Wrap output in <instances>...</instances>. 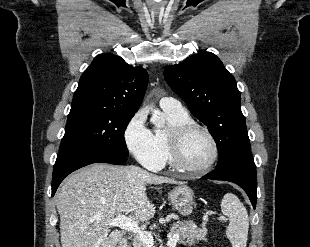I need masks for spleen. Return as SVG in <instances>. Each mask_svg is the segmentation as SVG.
<instances>
[{
    "instance_id": "1",
    "label": "spleen",
    "mask_w": 310,
    "mask_h": 247,
    "mask_svg": "<svg viewBox=\"0 0 310 247\" xmlns=\"http://www.w3.org/2000/svg\"><path fill=\"white\" fill-rule=\"evenodd\" d=\"M221 210L229 218L226 237L233 247H246L249 218L243 203L232 193L224 195Z\"/></svg>"
}]
</instances>
